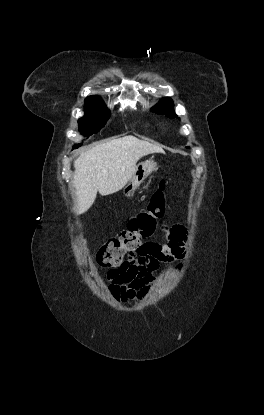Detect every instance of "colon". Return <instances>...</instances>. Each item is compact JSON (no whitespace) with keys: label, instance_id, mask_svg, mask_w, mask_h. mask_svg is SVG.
Instances as JSON below:
<instances>
[{"label":"colon","instance_id":"5ec220e1","mask_svg":"<svg viewBox=\"0 0 264 415\" xmlns=\"http://www.w3.org/2000/svg\"><path fill=\"white\" fill-rule=\"evenodd\" d=\"M165 180H161L152 194L147 209L132 217L125 229L107 240L97 254V265L102 269H123L142 245L156 233H167L162 224L165 214Z\"/></svg>","mask_w":264,"mask_h":415}]
</instances>
